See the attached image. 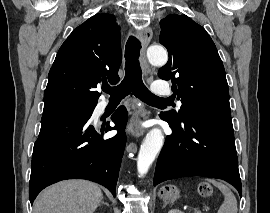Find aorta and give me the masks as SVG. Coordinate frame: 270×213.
Listing matches in <instances>:
<instances>
[{"instance_id": "762f6f07", "label": "aorta", "mask_w": 270, "mask_h": 213, "mask_svg": "<svg viewBox=\"0 0 270 213\" xmlns=\"http://www.w3.org/2000/svg\"><path fill=\"white\" fill-rule=\"evenodd\" d=\"M147 57L153 65H164L168 61L167 51L162 46H151L147 50ZM164 137L161 129L153 128L146 135L143 143L141 144L138 159L137 170L139 176H144L157 154L163 146Z\"/></svg>"}]
</instances>
